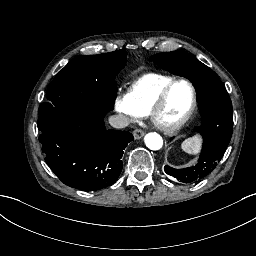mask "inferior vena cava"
Masks as SVG:
<instances>
[{"instance_id":"602c4592","label":"inferior vena cava","mask_w":256,"mask_h":256,"mask_svg":"<svg viewBox=\"0 0 256 256\" xmlns=\"http://www.w3.org/2000/svg\"><path fill=\"white\" fill-rule=\"evenodd\" d=\"M108 120L109 124L117 129L125 128L129 125V118L124 114L112 115Z\"/></svg>"}]
</instances>
